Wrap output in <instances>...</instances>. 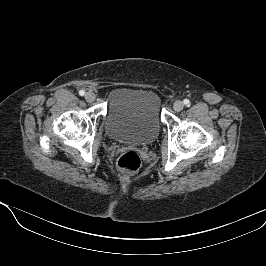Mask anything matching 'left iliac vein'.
I'll return each mask as SVG.
<instances>
[{"instance_id": "left-iliac-vein-1", "label": "left iliac vein", "mask_w": 266, "mask_h": 266, "mask_svg": "<svg viewBox=\"0 0 266 266\" xmlns=\"http://www.w3.org/2000/svg\"><path fill=\"white\" fill-rule=\"evenodd\" d=\"M173 108L175 111L180 112L184 108V103L180 100H177L173 104Z\"/></svg>"}]
</instances>
